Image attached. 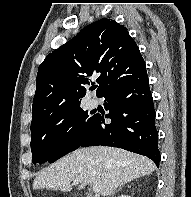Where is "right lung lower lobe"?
<instances>
[{"label":"right lung lower lobe","mask_w":191,"mask_h":197,"mask_svg":"<svg viewBox=\"0 0 191 197\" xmlns=\"http://www.w3.org/2000/svg\"><path fill=\"white\" fill-rule=\"evenodd\" d=\"M105 98V109L111 119L95 115L94 124L80 147L113 146L152 159L159 166L158 132L155 110L146 66L108 86L99 96Z\"/></svg>","instance_id":"obj_1"}]
</instances>
